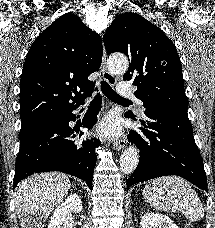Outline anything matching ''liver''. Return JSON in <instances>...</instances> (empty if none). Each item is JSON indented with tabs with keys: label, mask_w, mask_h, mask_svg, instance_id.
Returning a JSON list of instances; mask_svg holds the SVG:
<instances>
[{
	"label": "liver",
	"mask_w": 215,
	"mask_h": 228,
	"mask_svg": "<svg viewBox=\"0 0 215 228\" xmlns=\"http://www.w3.org/2000/svg\"><path fill=\"white\" fill-rule=\"evenodd\" d=\"M70 180L60 172L34 174L22 180L15 190V206L21 228H45L53 208L64 200Z\"/></svg>",
	"instance_id": "obj_1"
}]
</instances>
